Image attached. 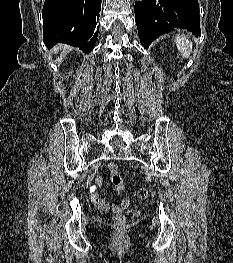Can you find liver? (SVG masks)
Returning <instances> with one entry per match:
<instances>
[{
    "instance_id": "6515ba94",
    "label": "liver",
    "mask_w": 233,
    "mask_h": 263,
    "mask_svg": "<svg viewBox=\"0 0 233 263\" xmlns=\"http://www.w3.org/2000/svg\"><path fill=\"white\" fill-rule=\"evenodd\" d=\"M62 48V45H59V46H56L54 49H53V52H57L59 49H61Z\"/></svg>"
}]
</instances>
